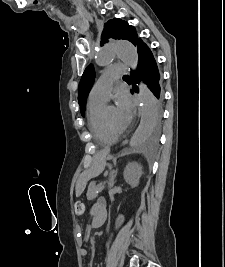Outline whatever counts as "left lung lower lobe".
Segmentation results:
<instances>
[{"label":"left lung lower lobe","instance_id":"0a47b994","mask_svg":"<svg viewBox=\"0 0 225 267\" xmlns=\"http://www.w3.org/2000/svg\"><path fill=\"white\" fill-rule=\"evenodd\" d=\"M138 52V66L135 72H131L132 79V90L133 92H138V87L136 85L137 81L142 80L150 91L153 93L156 104L162 108L163 102V91L162 82L160 78V73L153 57V54L147 44L141 39L137 44Z\"/></svg>","mask_w":225,"mask_h":267}]
</instances>
